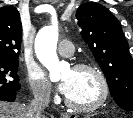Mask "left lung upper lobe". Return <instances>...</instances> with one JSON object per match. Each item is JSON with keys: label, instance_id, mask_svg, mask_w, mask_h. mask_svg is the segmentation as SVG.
Here are the masks:
<instances>
[{"label": "left lung upper lobe", "instance_id": "1", "mask_svg": "<svg viewBox=\"0 0 133 118\" xmlns=\"http://www.w3.org/2000/svg\"><path fill=\"white\" fill-rule=\"evenodd\" d=\"M76 18L115 102L133 111V60L119 21L106 7L94 2L81 4Z\"/></svg>", "mask_w": 133, "mask_h": 118}]
</instances>
